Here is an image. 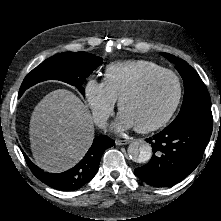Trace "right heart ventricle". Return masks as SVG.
Wrapping results in <instances>:
<instances>
[{
    "instance_id": "1",
    "label": "right heart ventricle",
    "mask_w": 221,
    "mask_h": 221,
    "mask_svg": "<svg viewBox=\"0 0 221 221\" xmlns=\"http://www.w3.org/2000/svg\"><path fill=\"white\" fill-rule=\"evenodd\" d=\"M164 69L149 60H125L109 64L104 71V82L118 99L119 96L148 73Z\"/></svg>"
}]
</instances>
